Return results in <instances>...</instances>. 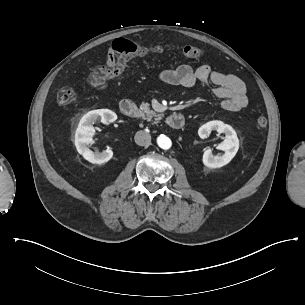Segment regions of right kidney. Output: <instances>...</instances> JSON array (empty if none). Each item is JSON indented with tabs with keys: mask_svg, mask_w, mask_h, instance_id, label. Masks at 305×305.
Here are the masks:
<instances>
[{
	"mask_svg": "<svg viewBox=\"0 0 305 305\" xmlns=\"http://www.w3.org/2000/svg\"><path fill=\"white\" fill-rule=\"evenodd\" d=\"M99 119L102 123H114L117 116L112 111L106 109L94 110L87 113L80 121L79 127L76 131L74 144L78 154H80L86 161L92 164L102 165L112 159L113 151L107 149L102 153H97L88 149V143L91 142L95 136V130L92 127V124Z\"/></svg>",
	"mask_w": 305,
	"mask_h": 305,
	"instance_id": "1",
	"label": "right kidney"
}]
</instances>
